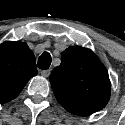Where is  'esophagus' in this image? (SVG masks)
Returning <instances> with one entry per match:
<instances>
[{
    "label": "esophagus",
    "mask_w": 125,
    "mask_h": 125,
    "mask_svg": "<svg viewBox=\"0 0 125 125\" xmlns=\"http://www.w3.org/2000/svg\"><path fill=\"white\" fill-rule=\"evenodd\" d=\"M49 74H50V70H49V69H48V70H43V71L41 72V75H42L43 77H48Z\"/></svg>",
    "instance_id": "34e87169"
}]
</instances>
